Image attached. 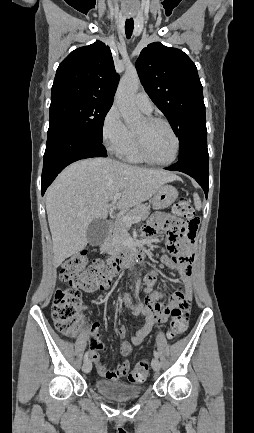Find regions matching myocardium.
<instances>
[{
	"instance_id": "f54148a6",
	"label": "myocardium",
	"mask_w": 254,
	"mask_h": 433,
	"mask_svg": "<svg viewBox=\"0 0 254 433\" xmlns=\"http://www.w3.org/2000/svg\"><path fill=\"white\" fill-rule=\"evenodd\" d=\"M145 120L149 125L161 124L169 130V132L171 133V135L173 136V138L175 140V152H174L173 157L170 160L157 161V160L153 159L150 156V154L148 153L146 146H145V143H144V140L141 137V135H139L138 133L135 132L134 135H135L136 146H137V149H138L140 156L143 158L144 161H146L150 164H153V165L168 166V165L173 164L177 160L179 153H180V148H181L180 139H179L176 131L173 129V127L171 126V124L168 121H166L162 118L147 117V118H145Z\"/></svg>"
}]
</instances>
